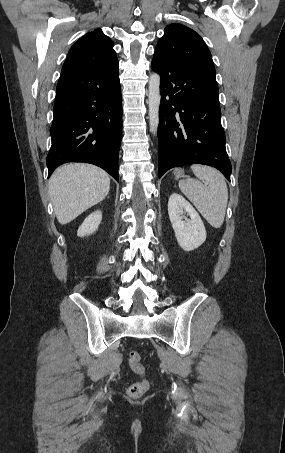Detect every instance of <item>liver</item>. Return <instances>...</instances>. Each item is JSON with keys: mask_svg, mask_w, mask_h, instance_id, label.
Here are the masks:
<instances>
[{"mask_svg": "<svg viewBox=\"0 0 285 453\" xmlns=\"http://www.w3.org/2000/svg\"><path fill=\"white\" fill-rule=\"evenodd\" d=\"M109 190V175L90 164L63 165L55 170L49 180L54 212L62 225L101 202Z\"/></svg>", "mask_w": 285, "mask_h": 453, "instance_id": "1", "label": "liver"}]
</instances>
